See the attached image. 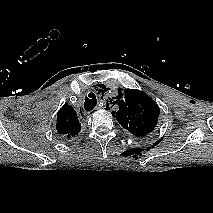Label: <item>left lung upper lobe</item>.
Returning <instances> with one entry per match:
<instances>
[{
  "label": "left lung upper lobe",
  "instance_id": "obj_1",
  "mask_svg": "<svg viewBox=\"0 0 213 213\" xmlns=\"http://www.w3.org/2000/svg\"><path fill=\"white\" fill-rule=\"evenodd\" d=\"M114 103L119 106V109L112 112V115L133 135L145 136L156 127L160 109L156 102L144 92L135 89L119 90Z\"/></svg>",
  "mask_w": 213,
  "mask_h": 213
}]
</instances>
